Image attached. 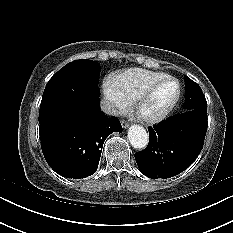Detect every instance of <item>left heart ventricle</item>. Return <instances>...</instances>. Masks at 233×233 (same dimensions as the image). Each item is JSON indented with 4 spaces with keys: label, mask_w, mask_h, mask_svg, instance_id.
I'll return each mask as SVG.
<instances>
[{
    "label": "left heart ventricle",
    "mask_w": 233,
    "mask_h": 233,
    "mask_svg": "<svg viewBox=\"0 0 233 233\" xmlns=\"http://www.w3.org/2000/svg\"><path fill=\"white\" fill-rule=\"evenodd\" d=\"M176 85L172 81H165L155 87L149 97L142 103L140 113L144 116H154L163 111L173 100Z\"/></svg>",
    "instance_id": "b2bd125f"
}]
</instances>
